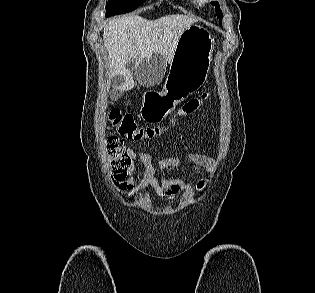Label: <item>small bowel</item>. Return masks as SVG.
Instances as JSON below:
<instances>
[{
  "label": "small bowel",
  "instance_id": "c3829d8e",
  "mask_svg": "<svg viewBox=\"0 0 315 293\" xmlns=\"http://www.w3.org/2000/svg\"><path fill=\"white\" fill-rule=\"evenodd\" d=\"M173 157L162 161L158 169L152 164L151 155L143 151L139 154V160L144 167L143 177L139 182H134L133 179H127L120 182L117 186L119 191L122 190H135L141 191L146 187H151L157 195L166 198L167 200H173L181 190L187 187L186 183L179 179L166 178L164 171L168 167H176L180 163V153L176 149H172ZM128 154L131 158L135 157V153L132 149L128 150ZM187 157L195 164L210 170L213 167V160L200 153H194L185 150ZM158 173V177L156 176Z\"/></svg>",
  "mask_w": 315,
  "mask_h": 293
}]
</instances>
